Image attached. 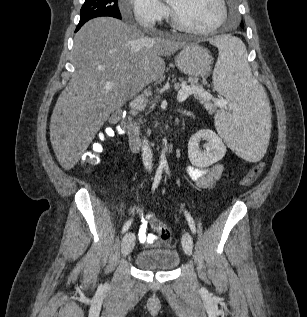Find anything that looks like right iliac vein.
<instances>
[{
	"mask_svg": "<svg viewBox=\"0 0 307 317\" xmlns=\"http://www.w3.org/2000/svg\"><path fill=\"white\" fill-rule=\"evenodd\" d=\"M135 236L133 233H126L122 239L121 243V253L122 256L126 257L134 248Z\"/></svg>",
	"mask_w": 307,
	"mask_h": 317,
	"instance_id": "obj_1",
	"label": "right iliac vein"
}]
</instances>
